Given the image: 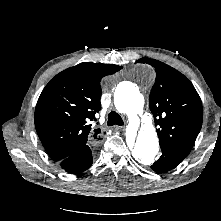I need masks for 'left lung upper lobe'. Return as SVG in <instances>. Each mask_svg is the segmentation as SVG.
<instances>
[{"label":"left lung upper lobe","mask_w":221,"mask_h":221,"mask_svg":"<svg viewBox=\"0 0 221 221\" xmlns=\"http://www.w3.org/2000/svg\"><path fill=\"white\" fill-rule=\"evenodd\" d=\"M155 68L149 107L161 147L189 153L202 126L203 108L193 84L179 71L163 62L141 58Z\"/></svg>","instance_id":"5c2ea615"}]
</instances>
